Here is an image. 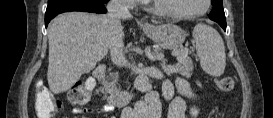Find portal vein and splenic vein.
Listing matches in <instances>:
<instances>
[{
    "mask_svg": "<svg viewBox=\"0 0 273 118\" xmlns=\"http://www.w3.org/2000/svg\"><path fill=\"white\" fill-rule=\"evenodd\" d=\"M185 50H187V49H185ZM149 58H150V59H154V57H153L152 54L149 55Z\"/></svg>",
    "mask_w": 273,
    "mask_h": 118,
    "instance_id": "1",
    "label": "portal vein and splenic vein"
}]
</instances>
